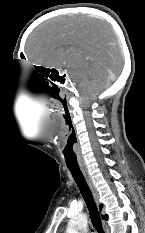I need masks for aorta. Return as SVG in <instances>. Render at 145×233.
Listing matches in <instances>:
<instances>
[{"mask_svg":"<svg viewBox=\"0 0 145 233\" xmlns=\"http://www.w3.org/2000/svg\"><path fill=\"white\" fill-rule=\"evenodd\" d=\"M88 219L86 214L72 217L68 223L66 233H86Z\"/></svg>","mask_w":145,"mask_h":233,"instance_id":"762f6f07","label":"aorta"}]
</instances>
